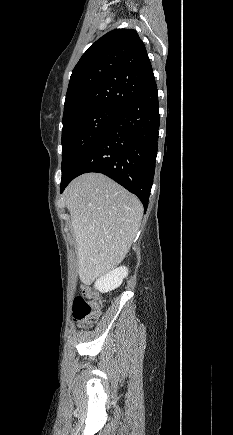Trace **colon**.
Returning a JSON list of instances; mask_svg holds the SVG:
<instances>
[{"label": "colon", "instance_id": "5ec220e1", "mask_svg": "<svg viewBox=\"0 0 233 435\" xmlns=\"http://www.w3.org/2000/svg\"><path fill=\"white\" fill-rule=\"evenodd\" d=\"M103 301L94 294L89 286L82 289L73 301V319L82 328L92 327L101 315Z\"/></svg>", "mask_w": 233, "mask_h": 435}]
</instances>
